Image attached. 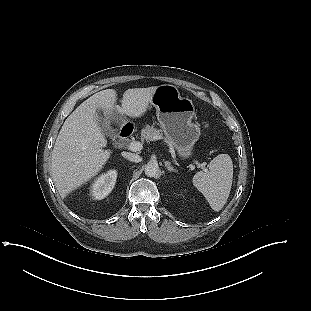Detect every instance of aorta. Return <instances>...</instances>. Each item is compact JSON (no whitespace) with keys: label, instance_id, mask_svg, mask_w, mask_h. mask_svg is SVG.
<instances>
[{"label":"aorta","instance_id":"762f6f07","mask_svg":"<svg viewBox=\"0 0 311 311\" xmlns=\"http://www.w3.org/2000/svg\"><path fill=\"white\" fill-rule=\"evenodd\" d=\"M145 175L147 177H158L159 176V165L156 161H150L145 166Z\"/></svg>","mask_w":311,"mask_h":311}]
</instances>
